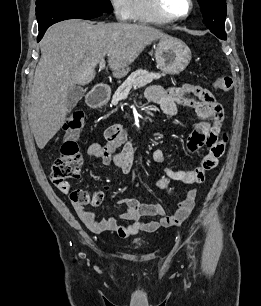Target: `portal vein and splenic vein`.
Instances as JSON below:
<instances>
[{
  "instance_id": "18ae733b",
  "label": "portal vein and splenic vein",
  "mask_w": 261,
  "mask_h": 306,
  "mask_svg": "<svg viewBox=\"0 0 261 306\" xmlns=\"http://www.w3.org/2000/svg\"><path fill=\"white\" fill-rule=\"evenodd\" d=\"M99 68H100V70H103L105 68V61L104 60L99 61Z\"/></svg>"
}]
</instances>
